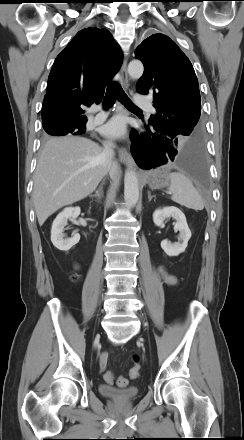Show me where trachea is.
Masks as SVG:
<instances>
[{
    "label": "trachea",
    "mask_w": 244,
    "mask_h": 440,
    "mask_svg": "<svg viewBox=\"0 0 244 440\" xmlns=\"http://www.w3.org/2000/svg\"><path fill=\"white\" fill-rule=\"evenodd\" d=\"M116 99L122 103L126 108L139 109L126 95L122 87L118 83H113L108 86L104 97L103 105L105 108L111 107Z\"/></svg>",
    "instance_id": "trachea-1"
}]
</instances>
